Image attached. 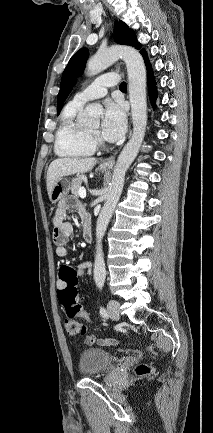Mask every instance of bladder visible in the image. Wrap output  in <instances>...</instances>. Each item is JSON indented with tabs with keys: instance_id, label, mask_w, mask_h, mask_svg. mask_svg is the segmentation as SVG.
I'll return each mask as SVG.
<instances>
[{
	"instance_id": "1",
	"label": "bladder",
	"mask_w": 213,
	"mask_h": 433,
	"mask_svg": "<svg viewBox=\"0 0 213 433\" xmlns=\"http://www.w3.org/2000/svg\"><path fill=\"white\" fill-rule=\"evenodd\" d=\"M117 358L100 348H87L80 354L79 371L87 377L99 376L112 369Z\"/></svg>"
}]
</instances>
